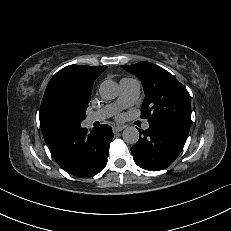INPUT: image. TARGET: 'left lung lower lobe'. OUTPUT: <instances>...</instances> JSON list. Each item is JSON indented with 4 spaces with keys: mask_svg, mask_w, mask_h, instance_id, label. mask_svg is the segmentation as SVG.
I'll use <instances>...</instances> for the list:
<instances>
[{
    "mask_svg": "<svg viewBox=\"0 0 231 231\" xmlns=\"http://www.w3.org/2000/svg\"><path fill=\"white\" fill-rule=\"evenodd\" d=\"M190 126L166 119L149 122V128L140 131L142 137L131 148L135 163L149 171L168 167L180 154Z\"/></svg>",
    "mask_w": 231,
    "mask_h": 231,
    "instance_id": "0a47b994",
    "label": "left lung lower lobe"
}]
</instances>
